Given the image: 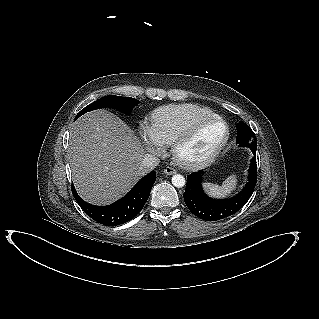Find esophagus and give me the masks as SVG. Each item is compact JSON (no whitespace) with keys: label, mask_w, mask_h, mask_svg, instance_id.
Returning <instances> with one entry per match:
<instances>
[{"label":"esophagus","mask_w":319,"mask_h":319,"mask_svg":"<svg viewBox=\"0 0 319 319\" xmlns=\"http://www.w3.org/2000/svg\"><path fill=\"white\" fill-rule=\"evenodd\" d=\"M164 174H166V175H173V174H176V170L174 169V168H172V167H166L165 169H164Z\"/></svg>","instance_id":"1"}]
</instances>
